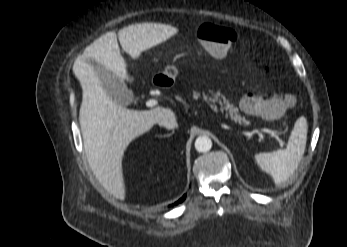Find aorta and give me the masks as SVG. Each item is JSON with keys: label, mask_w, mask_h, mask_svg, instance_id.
Instances as JSON below:
<instances>
[{"label": "aorta", "mask_w": 347, "mask_h": 247, "mask_svg": "<svg viewBox=\"0 0 347 247\" xmlns=\"http://www.w3.org/2000/svg\"><path fill=\"white\" fill-rule=\"evenodd\" d=\"M211 147L212 141L208 136H199L195 141V149L200 153L210 151Z\"/></svg>", "instance_id": "obj_1"}]
</instances>
